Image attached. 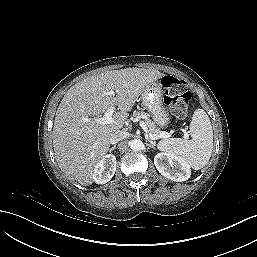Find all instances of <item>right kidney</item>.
<instances>
[{
	"label": "right kidney",
	"instance_id": "1",
	"mask_svg": "<svg viewBox=\"0 0 257 257\" xmlns=\"http://www.w3.org/2000/svg\"><path fill=\"white\" fill-rule=\"evenodd\" d=\"M116 157L105 155L94 167L93 179L97 184H105L111 180L116 171Z\"/></svg>",
	"mask_w": 257,
	"mask_h": 257
}]
</instances>
